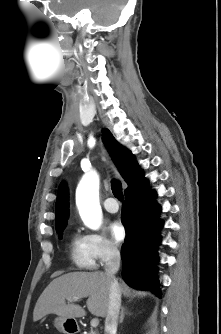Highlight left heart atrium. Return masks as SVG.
I'll list each match as a JSON object with an SVG mask.
<instances>
[{"label":"left heart atrium","mask_w":221,"mask_h":334,"mask_svg":"<svg viewBox=\"0 0 221 334\" xmlns=\"http://www.w3.org/2000/svg\"><path fill=\"white\" fill-rule=\"evenodd\" d=\"M109 231H110L112 239L116 243L121 242L125 237V228L119 220H115L110 223Z\"/></svg>","instance_id":"39dd6f15"}]
</instances>
